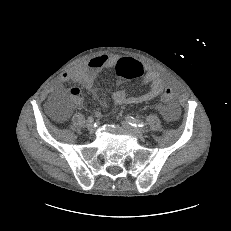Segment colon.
Returning a JSON list of instances; mask_svg holds the SVG:
<instances>
[{"label": "colon", "mask_w": 231, "mask_h": 231, "mask_svg": "<svg viewBox=\"0 0 231 231\" xmlns=\"http://www.w3.org/2000/svg\"><path fill=\"white\" fill-rule=\"evenodd\" d=\"M145 73L144 67L141 63L130 58H122L118 60L115 65V74L121 79H132L143 76ZM173 94V88L166 86L164 88V94L162 100L167 102L171 100Z\"/></svg>", "instance_id": "5ec220e1"}]
</instances>
